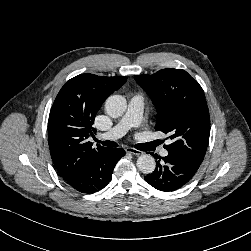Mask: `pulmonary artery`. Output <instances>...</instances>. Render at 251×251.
I'll list each match as a JSON object with an SVG mask.
<instances>
[{
	"label": "pulmonary artery",
	"instance_id": "e3ab8cb5",
	"mask_svg": "<svg viewBox=\"0 0 251 251\" xmlns=\"http://www.w3.org/2000/svg\"><path fill=\"white\" fill-rule=\"evenodd\" d=\"M143 106V95H134L129 101L126 113L119 122L106 133V137L110 139L121 138L130 128L138 126L141 121ZM160 153L162 156L168 155L166 149H162Z\"/></svg>",
	"mask_w": 251,
	"mask_h": 251
}]
</instances>
